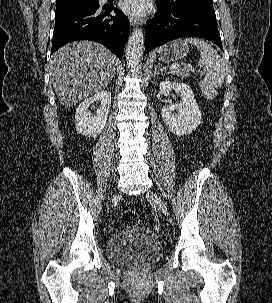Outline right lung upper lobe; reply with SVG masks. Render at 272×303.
<instances>
[{
	"mask_svg": "<svg viewBox=\"0 0 272 303\" xmlns=\"http://www.w3.org/2000/svg\"><path fill=\"white\" fill-rule=\"evenodd\" d=\"M67 1H73V0H56V3H62V2H67Z\"/></svg>",
	"mask_w": 272,
	"mask_h": 303,
	"instance_id": "obj_1",
	"label": "right lung upper lobe"
}]
</instances>
